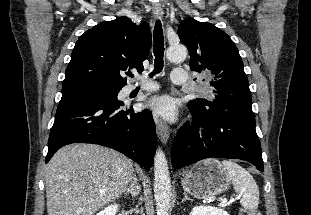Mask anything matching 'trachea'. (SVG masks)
<instances>
[{
	"mask_svg": "<svg viewBox=\"0 0 311 215\" xmlns=\"http://www.w3.org/2000/svg\"><path fill=\"white\" fill-rule=\"evenodd\" d=\"M153 41H154L153 53L155 59H154V71L150 74L151 77L156 73L162 72L164 64L163 60L165 50L164 36L160 20H157L155 23ZM129 76L133 77V74L130 73Z\"/></svg>",
	"mask_w": 311,
	"mask_h": 215,
	"instance_id": "trachea-1",
	"label": "trachea"
}]
</instances>
